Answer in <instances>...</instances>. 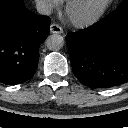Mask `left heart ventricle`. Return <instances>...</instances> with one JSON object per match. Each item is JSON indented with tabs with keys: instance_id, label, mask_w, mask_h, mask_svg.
I'll return each instance as SVG.
<instances>
[{
	"instance_id": "obj_1",
	"label": "left heart ventricle",
	"mask_w": 128,
	"mask_h": 128,
	"mask_svg": "<svg viewBox=\"0 0 128 128\" xmlns=\"http://www.w3.org/2000/svg\"><path fill=\"white\" fill-rule=\"evenodd\" d=\"M103 0H81V2L73 9L72 16L76 18L85 17L94 12Z\"/></svg>"
}]
</instances>
